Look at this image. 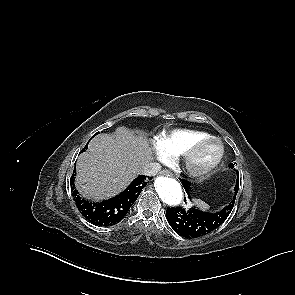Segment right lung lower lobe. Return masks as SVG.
<instances>
[{
    "label": "right lung lower lobe",
    "mask_w": 295,
    "mask_h": 295,
    "mask_svg": "<svg viewBox=\"0 0 295 295\" xmlns=\"http://www.w3.org/2000/svg\"><path fill=\"white\" fill-rule=\"evenodd\" d=\"M87 147L86 145L84 149H87ZM147 182L145 176H138L119 195L103 202L94 203L82 199L77 190H74V174L70 180L78 209L88 221L99 226H111L120 222L127 215Z\"/></svg>",
    "instance_id": "right-lung-lower-lobe-1"
}]
</instances>
